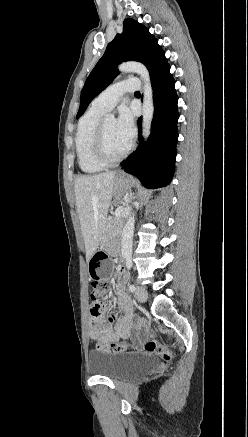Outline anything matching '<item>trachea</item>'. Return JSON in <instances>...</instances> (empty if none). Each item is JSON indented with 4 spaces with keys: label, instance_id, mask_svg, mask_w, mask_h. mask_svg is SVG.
<instances>
[{
    "label": "trachea",
    "instance_id": "1",
    "mask_svg": "<svg viewBox=\"0 0 248 437\" xmlns=\"http://www.w3.org/2000/svg\"><path fill=\"white\" fill-rule=\"evenodd\" d=\"M135 94H140V92L137 91V92H135Z\"/></svg>",
    "mask_w": 248,
    "mask_h": 437
}]
</instances>
